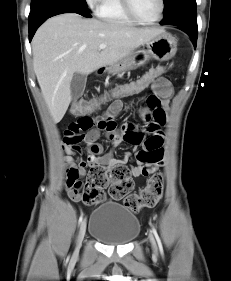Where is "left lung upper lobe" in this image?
I'll return each instance as SVG.
<instances>
[{"label":"left lung upper lobe","instance_id":"left-lung-upper-lobe-1","mask_svg":"<svg viewBox=\"0 0 231 281\" xmlns=\"http://www.w3.org/2000/svg\"><path fill=\"white\" fill-rule=\"evenodd\" d=\"M164 1V17L179 7L186 5H196V0H163Z\"/></svg>","mask_w":231,"mask_h":281}]
</instances>
